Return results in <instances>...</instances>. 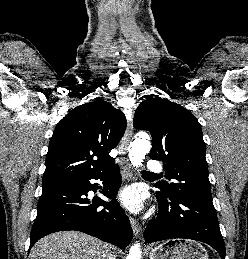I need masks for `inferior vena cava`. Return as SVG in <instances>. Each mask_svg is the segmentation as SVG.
<instances>
[{
    "instance_id": "1",
    "label": "inferior vena cava",
    "mask_w": 248,
    "mask_h": 259,
    "mask_svg": "<svg viewBox=\"0 0 248 259\" xmlns=\"http://www.w3.org/2000/svg\"><path fill=\"white\" fill-rule=\"evenodd\" d=\"M108 259H115V257L113 255H109Z\"/></svg>"
}]
</instances>
